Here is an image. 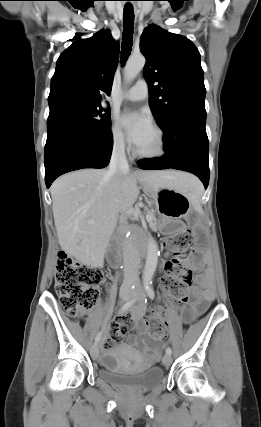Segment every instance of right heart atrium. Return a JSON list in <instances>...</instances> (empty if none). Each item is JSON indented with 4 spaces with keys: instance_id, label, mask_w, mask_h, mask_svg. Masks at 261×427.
<instances>
[{
    "instance_id": "1",
    "label": "right heart atrium",
    "mask_w": 261,
    "mask_h": 427,
    "mask_svg": "<svg viewBox=\"0 0 261 427\" xmlns=\"http://www.w3.org/2000/svg\"><path fill=\"white\" fill-rule=\"evenodd\" d=\"M110 139L112 149L117 153H124L127 150L125 137L116 124H112L110 128Z\"/></svg>"
}]
</instances>
